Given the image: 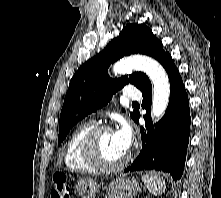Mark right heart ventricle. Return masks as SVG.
Here are the masks:
<instances>
[{"label": "right heart ventricle", "mask_w": 221, "mask_h": 198, "mask_svg": "<svg viewBox=\"0 0 221 198\" xmlns=\"http://www.w3.org/2000/svg\"><path fill=\"white\" fill-rule=\"evenodd\" d=\"M93 127L92 123L81 124L68 137L64 147V162L68 169L82 173L97 171L87 162L83 154L84 139Z\"/></svg>", "instance_id": "obj_1"}]
</instances>
